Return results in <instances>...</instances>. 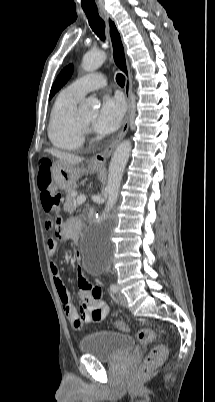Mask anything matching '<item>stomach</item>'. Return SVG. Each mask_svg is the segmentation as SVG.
Returning <instances> with one entry per match:
<instances>
[{
  "mask_svg": "<svg viewBox=\"0 0 215 402\" xmlns=\"http://www.w3.org/2000/svg\"><path fill=\"white\" fill-rule=\"evenodd\" d=\"M99 167L88 165L84 168L79 165H72L57 160L51 165V175L53 182L62 190H68L75 187L77 180L85 173L98 172Z\"/></svg>",
  "mask_w": 215,
  "mask_h": 402,
  "instance_id": "1",
  "label": "stomach"
}]
</instances>
